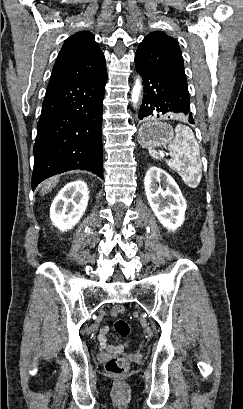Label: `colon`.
<instances>
[{
  "label": "colon",
  "instance_id": "5ec220e1",
  "mask_svg": "<svg viewBox=\"0 0 243 409\" xmlns=\"http://www.w3.org/2000/svg\"><path fill=\"white\" fill-rule=\"evenodd\" d=\"M125 312V309L121 305H117L112 309V316L116 317L117 320L114 323L116 332L122 337H127L130 333V327L127 321L123 318H120ZM128 362L122 357H112L106 364V371L113 376H122L128 370Z\"/></svg>",
  "mask_w": 243,
  "mask_h": 409
}]
</instances>
